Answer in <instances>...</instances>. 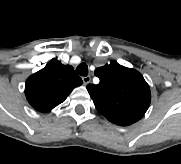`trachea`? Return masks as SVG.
I'll return each instance as SVG.
<instances>
[{"mask_svg": "<svg viewBox=\"0 0 181 164\" xmlns=\"http://www.w3.org/2000/svg\"><path fill=\"white\" fill-rule=\"evenodd\" d=\"M76 73L81 76H87L88 75V66L86 63H81L76 68Z\"/></svg>", "mask_w": 181, "mask_h": 164, "instance_id": "trachea-1", "label": "trachea"}]
</instances>
